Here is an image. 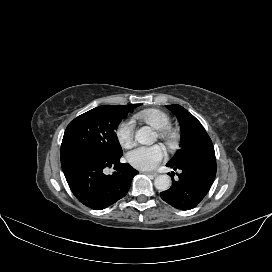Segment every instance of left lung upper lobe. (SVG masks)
Listing matches in <instances>:
<instances>
[{
	"label": "left lung upper lobe",
	"instance_id": "1",
	"mask_svg": "<svg viewBox=\"0 0 272 272\" xmlns=\"http://www.w3.org/2000/svg\"><path fill=\"white\" fill-rule=\"evenodd\" d=\"M178 118L181 126L180 149L175 156L167 163L178 165L185 159L205 151L214 150L212 141L201 123L180 105H167Z\"/></svg>",
	"mask_w": 272,
	"mask_h": 272
}]
</instances>
